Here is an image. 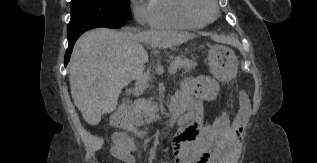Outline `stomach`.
<instances>
[{
    "label": "stomach",
    "mask_w": 317,
    "mask_h": 163,
    "mask_svg": "<svg viewBox=\"0 0 317 163\" xmlns=\"http://www.w3.org/2000/svg\"><path fill=\"white\" fill-rule=\"evenodd\" d=\"M211 73L220 81L231 79L238 69V58L234 51L223 45L211 46L208 52Z\"/></svg>",
    "instance_id": "0dacf381"
}]
</instances>
